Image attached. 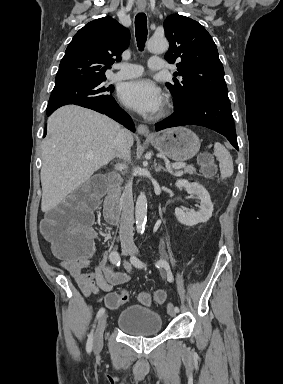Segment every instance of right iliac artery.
<instances>
[{
	"instance_id": "82829eb1",
	"label": "right iliac artery",
	"mask_w": 283,
	"mask_h": 384,
	"mask_svg": "<svg viewBox=\"0 0 283 384\" xmlns=\"http://www.w3.org/2000/svg\"><path fill=\"white\" fill-rule=\"evenodd\" d=\"M109 259L111 261V263L119 266L120 265V255L117 251H112L109 255ZM105 313V309L104 308H101L98 313H97V316L96 318L98 319L99 317H101L103 314ZM92 346H93V330L91 331V333L88 335V340H87V344H86V350L88 353L91 352L92 350Z\"/></svg>"
}]
</instances>
